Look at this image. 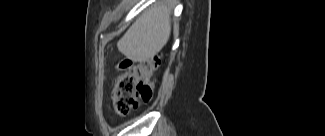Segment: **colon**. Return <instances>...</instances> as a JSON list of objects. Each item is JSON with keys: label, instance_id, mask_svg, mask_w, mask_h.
<instances>
[{"label": "colon", "instance_id": "obj_1", "mask_svg": "<svg viewBox=\"0 0 325 136\" xmlns=\"http://www.w3.org/2000/svg\"><path fill=\"white\" fill-rule=\"evenodd\" d=\"M159 64L160 58L154 56L118 75L111 90V105L116 114L128 115L139 102L151 99Z\"/></svg>", "mask_w": 325, "mask_h": 136}]
</instances>
